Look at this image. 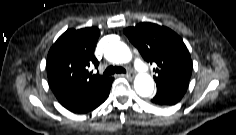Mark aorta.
<instances>
[{"instance_id": "aorta-1", "label": "aorta", "mask_w": 236, "mask_h": 135, "mask_svg": "<svg viewBox=\"0 0 236 135\" xmlns=\"http://www.w3.org/2000/svg\"><path fill=\"white\" fill-rule=\"evenodd\" d=\"M104 55L108 61L117 64L128 63L132 59V53L129 47L119 41H113L107 44ZM134 88L138 95L149 97L154 91V81L149 74L140 73L135 77Z\"/></svg>"}]
</instances>
